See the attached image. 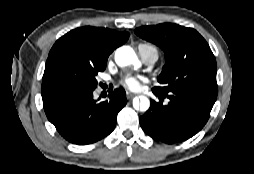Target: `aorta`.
I'll list each match as a JSON object with an SVG mask.
<instances>
[{
	"label": "aorta",
	"mask_w": 254,
	"mask_h": 174,
	"mask_svg": "<svg viewBox=\"0 0 254 174\" xmlns=\"http://www.w3.org/2000/svg\"><path fill=\"white\" fill-rule=\"evenodd\" d=\"M115 61L121 67L130 65V64L137 65L139 63L134 50L129 46H123L116 50ZM133 107L136 110L145 112L150 107V101L145 96H140L139 98L136 97L133 99Z\"/></svg>",
	"instance_id": "aorta-1"
}]
</instances>
